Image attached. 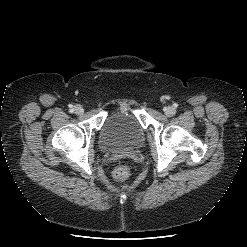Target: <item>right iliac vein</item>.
<instances>
[{"label":"right iliac vein","instance_id":"63e3f726","mask_svg":"<svg viewBox=\"0 0 247 247\" xmlns=\"http://www.w3.org/2000/svg\"><path fill=\"white\" fill-rule=\"evenodd\" d=\"M74 111L77 114H83L84 109L80 105H77V106H75Z\"/></svg>","mask_w":247,"mask_h":247}]
</instances>
